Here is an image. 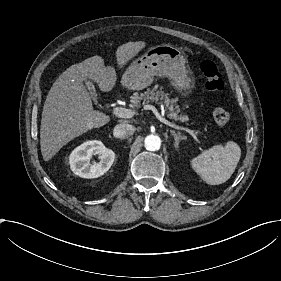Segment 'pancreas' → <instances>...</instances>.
<instances>
[{
	"label": "pancreas",
	"mask_w": 281,
	"mask_h": 281,
	"mask_svg": "<svg viewBox=\"0 0 281 281\" xmlns=\"http://www.w3.org/2000/svg\"><path fill=\"white\" fill-rule=\"evenodd\" d=\"M163 100V101H160ZM157 103L164 107L168 118H173L174 120H179L181 122H186L188 120V116L184 113L179 114V110L177 109L176 100H170L168 95L160 90H157V87L152 89H147L142 93L135 92L132 96H130V106L132 108H137L141 103Z\"/></svg>",
	"instance_id": "1"
}]
</instances>
